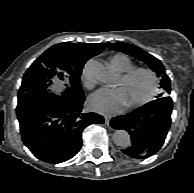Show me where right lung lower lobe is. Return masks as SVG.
<instances>
[{
    "label": "right lung lower lobe",
    "mask_w": 194,
    "mask_h": 193,
    "mask_svg": "<svg viewBox=\"0 0 194 193\" xmlns=\"http://www.w3.org/2000/svg\"><path fill=\"white\" fill-rule=\"evenodd\" d=\"M84 100L83 95L17 105L22 140L34 156L47 163H61L78 153L83 129L104 122L101 115L83 112Z\"/></svg>",
    "instance_id": "obj_1"
}]
</instances>
